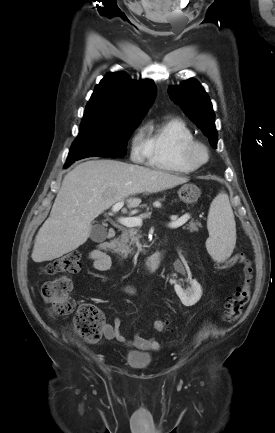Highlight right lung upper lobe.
Here are the masks:
<instances>
[{
	"label": "right lung upper lobe",
	"instance_id": "obj_1",
	"mask_svg": "<svg viewBox=\"0 0 275 433\" xmlns=\"http://www.w3.org/2000/svg\"><path fill=\"white\" fill-rule=\"evenodd\" d=\"M156 93L151 80L133 81L122 72L107 73L88 102L82 122L141 121Z\"/></svg>",
	"mask_w": 275,
	"mask_h": 433
}]
</instances>
